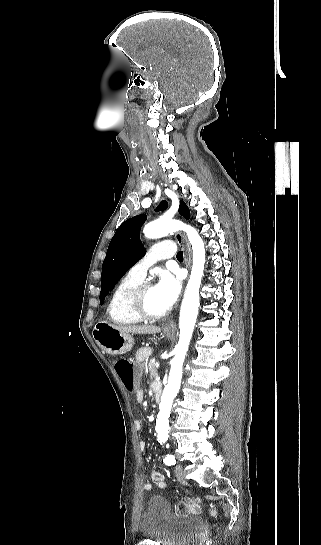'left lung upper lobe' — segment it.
Instances as JSON below:
<instances>
[{
	"instance_id": "1",
	"label": "left lung upper lobe",
	"mask_w": 321,
	"mask_h": 545,
	"mask_svg": "<svg viewBox=\"0 0 321 545\" xmlns=\"http://www.w3.org/2000/svg\"><path fill=\"white\" fill-rule=\"evenodd\" d=\"M168 203L162 201L155 211L166 209ZM179 213L190 218L187 205L181 201ZM146 215L134 216L121 224L110 241L106 258L102 265L100 303L116 285L120 278L143 256L144 247L139 239L140 228Z\"/></svg>"
}]
</instances>
